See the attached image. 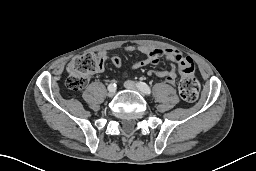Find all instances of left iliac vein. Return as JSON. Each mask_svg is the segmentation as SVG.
Here are the masks:
<instances>
[{
    "mask_svg": "<svg viewBox=\"0 0 256 171\" xmlns=\"http://www.w3.org/2000/svg\"><path fill=\"white\" fill-rule=\"evenodd\" d=\"M124 87L129 89V90H135V91H138V92L142 93V91L138 88L137 84L133 81H130V80H128L124 83Z\"/></svg>",
    "mask_w": 256,
    "mask_h": 171,
    "instance_id": "obj_1",
    "label": "left iliac vein"
}]
</instances>
